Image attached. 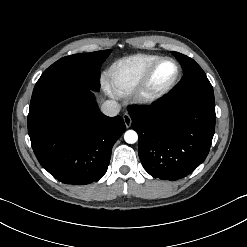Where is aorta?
<instances>
[{"instance_id": "aorta-1", "label": "aorta", "mask_w": 247, "mask_h": 247, "mask_svg": "<svg viewBox=\"0 0 247 247\" xmlns=\"http://www.w3.org/2000/svg\"><path fill=\"white\" fill-rule=\"evenodd\" d=\"M124 140L129 144H133L137 142L138 135L134 130H128L124 133Z\"/></svg>"}]
</instances>
